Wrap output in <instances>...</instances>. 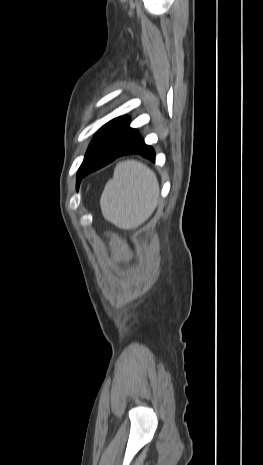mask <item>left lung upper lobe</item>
<instances>
[{"label":"left lung upper lobe","instance_id":"5c2ea615","mask_svg":"<svg viewBox=\"0 0 263 465\" xmlns=\"http://www.w3.org/2000/svg\"><path fill=\"white\" fill-rule=\"evenodd\" d=\"M113 121H114V120H112V121H110L109 123H107L106 125H104V126L99 130V132L95 135L94 139L92 140V142H91V144H90V146H89V148H88V151H87V153H86V155H85V158H84V160H83V163L81 164V166H80V168H79V170H78V177H77L78 183L80 182V180H81V178H82L81 170H82L84 164L86 163V161H87L89 155L91 154L93 148L95 147L97 141L99 140V138L101 137V135L103 134V132L108 128V126H109Z\"/></svg>","mask_w":263,"mask_h":465}]
</instances>
